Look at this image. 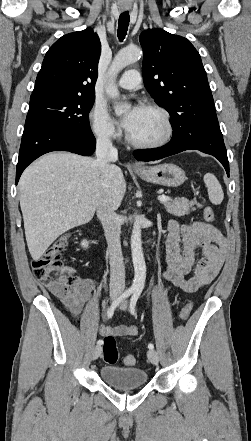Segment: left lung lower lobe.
I'll return each instance as SVG.
<instances>
[{
    "label": "left lung lower lobe",
    "instance_id": "left-lung-lower-lobe-1",
    "mask_svg": "<svg viewBox=\"0 0 251 441\" xmlns=\"http://www.w3.org/2000/svg\"><path fill=\"white\" fill-rule=\"evenodd\" d=\"M185 150H199L216 157L229 176V162L217 116L197 114L173 131L165 146L134 151L138 161H154Z\"/></svg>",
    "mask_w": 251,
    "mask_h": 441
}]
</instances>
